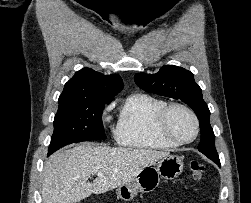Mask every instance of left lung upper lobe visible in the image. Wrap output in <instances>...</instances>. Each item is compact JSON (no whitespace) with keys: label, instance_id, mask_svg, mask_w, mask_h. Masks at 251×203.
<instances>
[{"label":"left lung upper lobe","instance_id":"1","mask_svg":"<svg viewBox=\"0 0 251 203\" xmlns=\"http://www.w3.org/2000/svg\"><path fill=\"white\" fill-rule=\"evenodd\" d=\"M134 80L140 88L147 92L180 99L189 105L200 123L199 151L214 162L219 160L215 148V135L209 121L210 111L203 100L202 90L195 82L192 72L174 65H167L163 66L156 74L138 73L134 76Z\"/></svg>","mask_w":251,"mask_h":203}]
</instances>
